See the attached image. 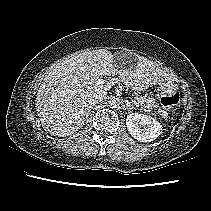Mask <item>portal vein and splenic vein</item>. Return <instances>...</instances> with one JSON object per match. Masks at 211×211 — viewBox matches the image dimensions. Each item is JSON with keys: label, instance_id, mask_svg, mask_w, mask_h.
Masks as SVG:
<instances>
[{"label": "portal vein and splenic vein", "instance_id": "1", "mask_svg": "<svg viewBox=\"0 0 211 211\" xmlns=\"http://www.w3.org/2000/svg\"><path fill=\"white\" fill-rule=\"evenodd\" d=\"M97 83L98 84H105L106 83V81L104 80V79H99L98 81H97ZM134 104L137 106V107H140L141 105H140V103L138 102V101H134Z\"/></svg>", "mask_w": 211, "mask_h": 211}]
</instances>
